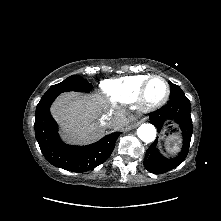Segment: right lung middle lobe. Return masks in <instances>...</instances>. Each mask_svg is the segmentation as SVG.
<instances>
[{
    "label": "right lung middle lobe",
    "instance_id": "right-lung-middle-lobe-1",
    "mask_svg": "<svg viewBox=\"0 0 221 221\" xmlns=\"http://www.w3.org/2000/svg\"><path fill=\"white\" fill-rule=\"evenodd\" d=\"M92 84L77 75H72L64 81L51 86L43 97L50 95H59L62 92L78 91V92H89L92 89Z\"/></svg>",
    "mask_w": 221,
    "mask_h": 221
}]
</instances>
